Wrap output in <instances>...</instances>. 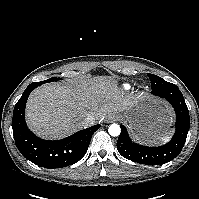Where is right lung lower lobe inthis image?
Wrapping results in <instances>:
<instances>
[{"label":"right lung lower lobe","instance_id":"98d812e1","mask_svg":"<svg viewBox=\"0 0 199 199\" xmlns=\"http://www.w3.org/2000/svg\"><path fill=\"white\" fill-rule=\"evenodd\" d=\"M34 88L36 87L29 85L14 108L12 128L17 148L26 159L45 168H61L78 162L87 152L91 137L100 125L58 141L38 138L25 123L26 101Z\"/></svg>","mask_w":199,"mask_h":199}]
</instances>
